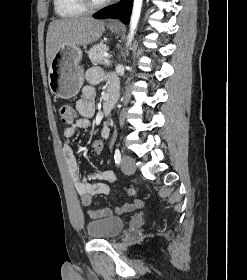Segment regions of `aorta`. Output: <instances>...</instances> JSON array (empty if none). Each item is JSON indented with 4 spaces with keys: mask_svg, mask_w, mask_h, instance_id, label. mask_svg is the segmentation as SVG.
Here are the masks:
<instances>
[{
    "mask_svg": "<svg viewBox=\"0 0 247 280\" xmlns=\"http://www.w3.org/2000/svg\"><path fill=\"white\" fill-rule=\"evenodd\" d=\"M142 3L143 0H134L133 2V9H132V15L130 20V32L128 36L129 42L132 41L133 36L135 34V30L137 28L140 13H141Z\"/></svg>",
    "mask_w": 247,
    "mask_h": 280,
    "instance_id": "762f6f07",
    "label": "aorta"
}]
</instances>
